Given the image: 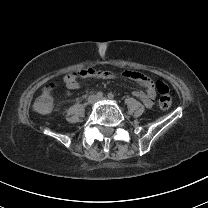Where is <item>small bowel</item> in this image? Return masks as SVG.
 Listing matches in <instances>:
<instances>
[{"mask_svg": "<svg viewBox=\"0 0 208 208\" xmlns=\"http://www.w3.org/2000/svg\"><path fill=\"white\" fill-rule=\"evenodd\" d=\"M79 74L80 78H110L113 76V73L109 70H93L91 67H88L84 71H79ZM124 76L140 84L142 89L135 91L134 96L142 100L147 107H151L155 101L156 94L149 78L146 75L137 72H125ZM65 84L72 90L79 88V83L76 85H69L65 81Z\"/></svg>", "mask_w": 208, "mask_h": 208, "instance_id": "obj_1", "label": "small bowel"}]
</instances>
